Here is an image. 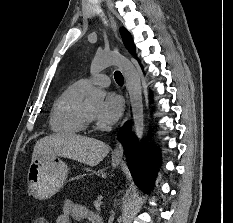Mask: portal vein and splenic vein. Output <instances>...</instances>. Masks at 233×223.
Returning <instances> with one entry per match:
<instances>
[{"mask_svg":"<svg viewBox=\"0 0 233 223\" xmlns=\"http://www.w3.org/2000/svg\"><path fill=\"white\" fill-rule=\"evenodd\" d=\"M103 202L102 201H94V206H102Z\"/></svg>","mask_w":233,"mask_h":223,"instance_id":"1","label":"portal vein and splenic vein"}]
</instances>
